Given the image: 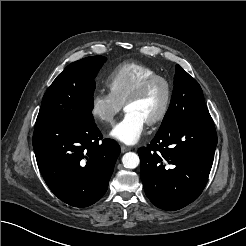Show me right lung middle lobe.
I'll list each match as a JSON object with an SVG mask.
<instances>
[{
  "mask_svg": "<svg viewBox=\"0 0 246 246\" xmlns=\"http://www.w3.org/2000/svg\"><path fill=\"white\" fill-rule=\"evenodd\" d=\"M104 56H91L68 65L44 94L36 122L92 123L94 78Z\"/></svg>",
  "mask_w": 246,
  "mask_h": 246,
  "instance_id": "obj_1",
  "label": "right lung middle lobe"
}]
</instances>
